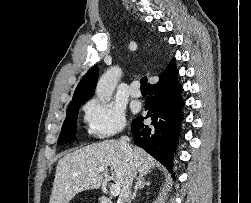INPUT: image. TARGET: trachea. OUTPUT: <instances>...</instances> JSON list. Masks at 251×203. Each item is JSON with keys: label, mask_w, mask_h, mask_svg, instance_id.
I'll return each instance as SVG.
<instances>
[{"label": "trachea", "mask_w": 251, "mask_h": 203, "mask_svg": "<svg viewBox=\"0 0 251 203\" xmlns=\"http://www.w3.org/2000/svg\"><path fill=\"white\" fill-rule=\"evenodd\" d=\"M140 84H141V90H147V77L144 76L141 78L140 80Z\"/></svg>", "instance_id": "obj_1"}]
</instances>
